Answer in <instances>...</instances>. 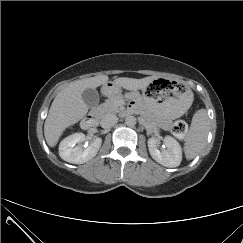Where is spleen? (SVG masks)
<instances>
[{"label": "spleen", "mask_w": 243, "mask_h": 243, "mask_svg": "<svg viewBox=\"0 0 243 243\" xmlns=\"http://www.w3.org/2000/svg\"><path fill=\"white\" fill-rule=\"evenodd\" d=\"M209 131V117L205 109L198 110L185 137L184 153L188 160L195 158L204 148Z\"/></svg>", "instance_id": "3e777b00"}]
</instances>
